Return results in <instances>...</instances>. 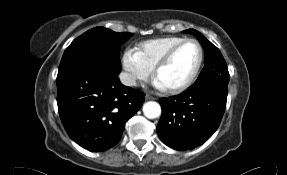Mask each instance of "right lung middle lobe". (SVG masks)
I'll return each instance as SVG.
<instances>
[{
    "label": "right lung middle lobe",
    "instance_id": "obj_1",
    "mask_svg": "<svg viewBox=\"0 0 287 175\" xmlns=\"http://www.w3.org/2000/svg\"><path fill=\"white\" fill-rule=\"evenodd\" d=\"M131 33H116L95 27L76 38L65 50L58 74L72 68L91 66L118 74L121 71L119 52Z\"/></svg>",
    "mask_w": 287,
    "mask_h": 175
}]
</instances>
